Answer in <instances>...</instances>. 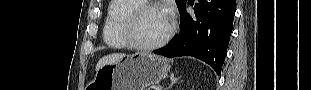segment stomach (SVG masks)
<instances>
[{
  "label": "stomach",
  "instance_id": "1",
  "mask_svg": "<svg viewBox=\"0 0 311 90\" xmlns=\"http://www.w3.org/2000/svg\"><path fill=\"white\" fill-rule=\"evenodd\" d=\"M168 60L147 52L127 55L100 68L88 90H144L157 84L170 71Z\"/></svg>",
  "mask_w": 311,
  "mask_h": 90
}]
</instances>
